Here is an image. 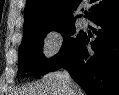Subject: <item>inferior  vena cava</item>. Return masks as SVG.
Returning <instances> with one entry per match:
<instances>
[{
  "instance_id": "inferior-vena-cava-1",
  "label": "inferior vena cava",
  "mask_w": 119,
  "mask_h": 95,
  "mask_svg": "<svg viewBox=\"0 0 119 95\" xmlns=\"http://www.w3.org/2000/svg\"><path fill=\"white\" fill-rule=\"evenodd\" d=\"M63 78L65 79V82L67 83L68 87L70 88V92H72L70 94L77 95L78 93H76L77 91L73 87V81L67 71H63Z\"/></svg>"
}]
</instances>
